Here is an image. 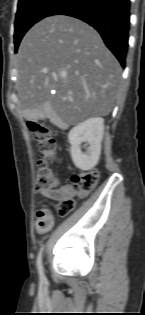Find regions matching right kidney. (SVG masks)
Masks as SVG:
<instances>
[{
  "instance_id": "obj_1",
  "label": "right kidney",
  "mask_w": 145,
  "mask_h": 315,
  "mask_svg": "<svg viewBox=\"0 0 145 315\" xmlns=\"http://www.w3.org/2000/svg\"><path fill=\"white\" fill-rule=\"evenodd\" d=\"M104 134V120L101 117L89 118L72 128L68 134L71 144V157L75 166L87 171L95 167L101 154V141ZM86 142L85 153L81 151V144Z\"/></svg>"
}]
</instances>
